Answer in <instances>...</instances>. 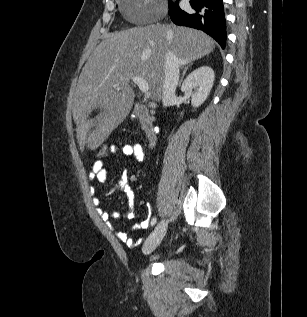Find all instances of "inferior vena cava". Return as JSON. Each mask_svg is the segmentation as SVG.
<instances>
[{
  "label": "inferior vena cava",
  "mask_w": 307,
  "mask_h": 317,
  "mask_svg": "<svg viewBox=\"0 0 307 317\" xmlns=\"http://www.w3.org/2000/svg\"><path fill=\"white\" fill-rule=\"evenodd\" d=\"M181 61L170 50L165 54L164 84L162 92L163 106H170L175 100V92L179 81Z\"/></svg>",
  "instance_id": "inferior-vena-cava-1"
}]
</instances>
